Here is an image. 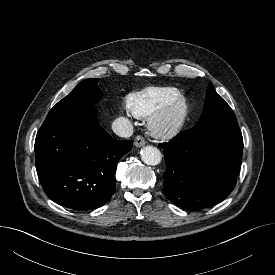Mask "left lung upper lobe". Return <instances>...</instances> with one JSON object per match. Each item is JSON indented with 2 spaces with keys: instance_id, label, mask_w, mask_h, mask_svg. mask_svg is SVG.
I'll return each instance as SVG.
<instances>
[{
  "instance_id": "left-lung-upper-lobe-1",
  "label": "left lung upper lobe",
  "mask_w": 275,
  "mask_h": 275,
  "mask_svg": "<svg viewBox=\"0 0 275 275\" xmlns=\"http://www.w3.org/2000/svg\"><path fill=\"white\" fill-rule=\"evenodd\" d=\"M198 124L207 131L240 130L235 114L210 84L206 91L204 110Z\"/></svg>"
}]
</instances>
